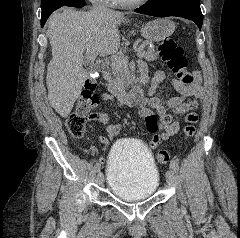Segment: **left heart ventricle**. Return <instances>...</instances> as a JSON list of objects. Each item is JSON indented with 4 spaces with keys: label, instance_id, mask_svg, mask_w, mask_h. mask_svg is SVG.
<instances>
[{
    "label": "left heart ventricle",
    "instance_id": "obj_1",
    "mask_svg": "<svg viewBox=\"0 0 240 238\" xmlns=\"http://www.w3.org/2000/svg\"><path fill=\"white\" fill-rule=\"evenodd\" d=\"M123 1H135V0H123Z\"/></svg>",
    "mask_w": 240,
    "mask_h": 238
}]
</instances>
